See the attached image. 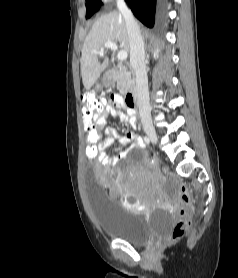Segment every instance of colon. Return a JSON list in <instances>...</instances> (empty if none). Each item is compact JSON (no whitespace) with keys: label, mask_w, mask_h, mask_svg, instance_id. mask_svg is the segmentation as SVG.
I'll list each match as a JSON object with an SVG mask.
<instances>
[{"label":"colon","mask_w":238,"mask_h":278,"mask_svg":"<svg viewBox=\"0 0 238 278\" xmlns=\"http://www.w3.org/2000/svg\"><path fill=\"white\" fill-rule=\"evenodd\" d=\"M106 98L97 95L94 92H86L81 97V121L86 123V138L82 141L84 159H97L100 156L103 145V127L95 125L94 121L104 111L106 106ZM174 187L179 192V201L177 204V220L168 233V239L172 241L179 240L184 236L190 226L189 218V191L190 186H186L183 177H174Z\"/></svg>","instance_id":"1"}]
</instances>
